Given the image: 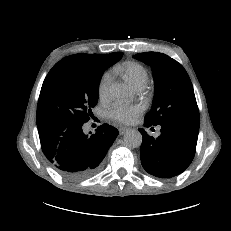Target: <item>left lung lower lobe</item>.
Instances as JSON below:
<instances>
[{
	"instance_id": "obj_1",
	"label": "left lung lower lobe",
	"mask_w": 231,
	"mask_h": 231,
	"mask_svg": "<svg viewBox=\"0 0 231 231\" xmlns=\"http://www.w3.org/2000/svg\"><path fill=\"white\" fill-rule=\"evenodd\" d=\"M145 127L151 124L145 121ZM200 124L169 123L161 125L158 138L139 129L143 141L140 157L143 168L159 178H171L181 174L192 162Z\"/></svg>"
}]
</instances>
